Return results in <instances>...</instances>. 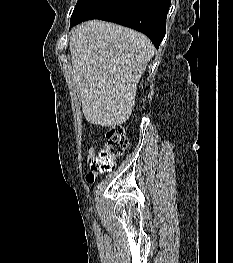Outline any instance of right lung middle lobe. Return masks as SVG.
Wrapping results in <instances>:
<instances>
[{"mask_svg": "<svg viewBox=\"0 0 233 263\" xmlns=\"http://www.w3.org/2000/svg\"><path fill=\"white\" fill-rule=\"evenodd\" d=\"M124 0H78L71 16V24L110 16Z\"/></svg>", "mask_w": 233, "mask_h": 263, "instance_id": "right-lung-middle-lobe-1", "label": "right lung middle lobe"}]
</instances>
